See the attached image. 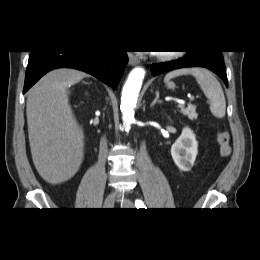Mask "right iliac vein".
<instances>
[{"mask_svg": "<svg viewBox=\"0 0 260 260\" xmlns=\"http://www.w3.org/2000/svg\"><path fill=\"white\" fill-rule=\"evenodd\" d=\"M116 199V193L109 194L104 201V208H112Z\"/></svg>", "mask_w": 260, "mask_h": 260, "instance_id": "1", "label": "right iliac vein"}]
</instances>
